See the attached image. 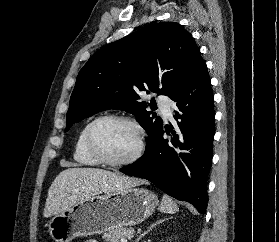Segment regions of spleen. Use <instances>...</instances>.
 <instances>
[{
	"label": "spleen",
	"mask_w": 279,
	"mask_h": 242,
	"mask_svg": "<svg viewBox=\"0 0 279 242\" xmlns=\"http://www.w3.org/2000/svg\"><path fill=\"white\" fill-rule=\"evenodd\" d=\"M179 210L177 204L168 196L163 195L162 202L160 205V211L164 213L173 214Z\"/></svg>",
	"instance_id": "1"
}]
</instances>
